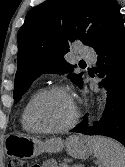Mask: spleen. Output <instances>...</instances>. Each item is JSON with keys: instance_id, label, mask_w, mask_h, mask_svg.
Listing matches in <instances>:
<instances>
[{"instance_id": "1", "label": "spleen", "mask_w": 125, "mask_h": 167, "mask_svg": "<svg viewBox=\"0 0 125 167\" xmlns=\"http://www.w3.org/2000/svg\"><path fill=\"white\" fill-rule=\"evenodd\" d=\"M95 157L103 167H125V148L117 141L96 136L90 138Z\"/></svg>"}]
</instances>
